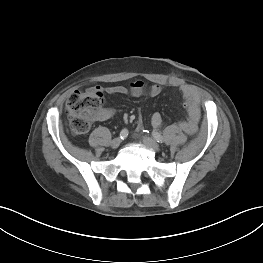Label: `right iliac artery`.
Wrapping results in <instances>:
<instances>
[{"label": "right iliac artery", "instance_id": "obj_1", "mask_svg": "<svg viewBox=\"0 0 263 263\" xmlns=\"http://www.w3.org/2000/svg\"><path fill=\"white\" fill-rule=\"evenodd\" d=\"M127 136H128V130H127V129H123V130L120 132V138H121V139H125Z\"/></svg>", "mask_w": 263, "mask_h": 263}]
</instances>
